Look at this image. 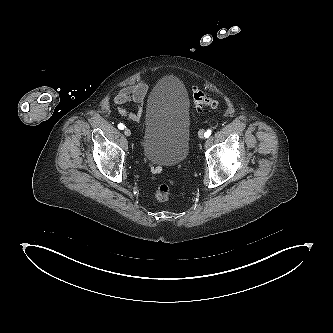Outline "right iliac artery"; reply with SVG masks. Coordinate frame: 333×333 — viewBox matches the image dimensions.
Instances as JSON below:
<instances>
[{"mask_svg": "<svg viewBox=\"0 0 333 333\" xmlns=\"http://www.w3.org/2000/svg\"><path fill=\"white\" fill-rule=\"evenodd\" d=\"M118 128L120 130H123L125 128V125L123 123L118 124Z\"/></svg>", "mask_w": 333, "mask_h": 333, "instance_id": "obj_1", "label": "right iliac artery"}]
</instances>
